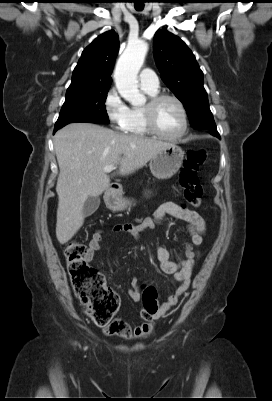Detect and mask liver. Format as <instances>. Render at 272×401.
<instances>
[{"instance_id":"liver-1","label":"liver","mask_w":272,"mask_h":401,"mask_svg":"<svg viewBox=\"0 0 272 401\" xmlns=\"http://www.w3.org/2000/svg\"><path fill=\"white\" fill-rule=\"evenodd\" d=\"M170 143L125 135L92 123H71L54 137L59 165L56 185V237L67 243L84 223L83 206L89 196L101 195L110 184L103 168L119 166L120 175L142 168Z\"/></svg>"}]
</instances>
